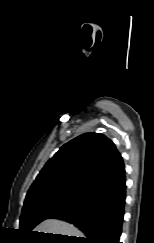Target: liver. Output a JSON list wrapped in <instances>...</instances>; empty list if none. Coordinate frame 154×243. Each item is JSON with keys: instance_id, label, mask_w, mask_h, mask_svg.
<instances>
[{"instance_id": "1", "label": "liver", "mask_w": 154, "mask_h": 243, "mask_svg": "<svg viewBox=\"0 0 154 243\" xmlns=\"http://www.w3.org/2000/svg\"><path fill=\"white\" fill-rule=\"evenodd\" d=\"M35 231L76 237H82L83 235L82 232L73 225L56 219H47L43 221L35 228Z\"/></svg>"}]
</instances>
